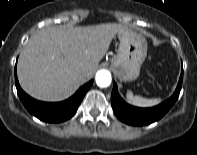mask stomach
Segmentation results:
<instances>
[{"label": "stomach", "instance_id": "1", "mask_svg": "<svg viewBox=\"0 0 197 155\" xmlns=\"http://www.w3.org/2000/svg\"><path fill=\"white\" fill-rule=\"evenodd\" d=\"M119 48L112 60V69L120 81L138 78L147 56V42L143 36L130 30L119 32Z\"/></svg>", "mask_w": 197, "mask_h": 155}]
</instances>
